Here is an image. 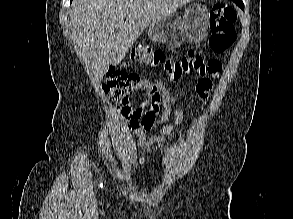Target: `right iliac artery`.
Listing matches in <instances>:
<instances>
[{"mask_svg":"<svg viewBox=\"0 0 293 219\" xmlns=\"http://www.w3.org/2000/svg\"><path fill=\"white\" fill-rule=\"evenodd\" d=\"M102 185H103L102 182H100V186H101V187H102Z\"/></svg>","mask_w":293,"mask_h":219,"instance_id":"right-iliac-artery-1","label":"right iliac artery"}]
</instances>
